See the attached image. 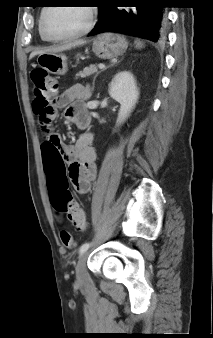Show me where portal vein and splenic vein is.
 Here are the masks:
<instances>
[{"instance_id": "1", "label": "portal vein and splenic vein", "mask_w": 213, "mask_h": 338, "mask_svg": "<svg viewBox=\"0 0 213 338\" xmlns=\"http://www.w3.org/2000/svg\"><path fill=\"white\" fill-rule=\"evenodd\" d=\"M98 67H99L100 69H104V68H105V65H104V64H99Z\"/></svg>"}]
</instances>
